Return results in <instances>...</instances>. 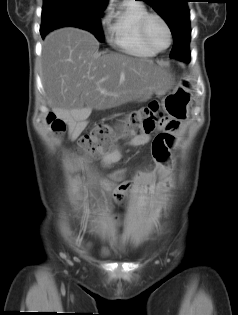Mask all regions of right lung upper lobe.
<instances>
[{
  "mask_svg": "<svg viewBox=\"0 0 238 315\" xmlns=\"http://www.w3.org/2000/svg\"><path fill=\"white\" fill-rule=\"evenodd\" d=\"M95 1H100V2H103L105 4H107L108 0H95Z\"/></svg>",
  "mask_w": 238,
  "mask_h": 315,
  "instance_id": "cb5924a9",
  "label": "right lung upper lobe"
}]
</instances>
